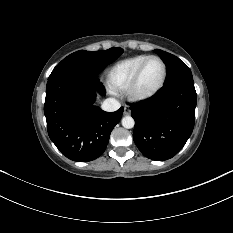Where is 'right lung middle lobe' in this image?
Wrapping results in <instances>:
<instances>
[{
    "label": "right lung middle lobe",
    "instance_id": "1",
    "mask_svg": "<svg viewBox=\"0 0 233 233\" xmlns=\"http://www.w3.org/2000/svg\"><path fill=\"white\" fill-rule=\"evenodd\" d=\"M123 53L121 48H110L101 51L80 50L64 58L52 71L49 78L61 74L97 75L107 65Z\"/></svg>",
    "mask_w": 233,
    "mask_h": 233
}]
</instances>
